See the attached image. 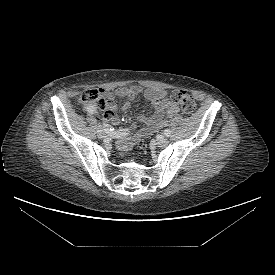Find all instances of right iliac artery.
<instances>
[{
    "label": "right iliac artery",
    "instance_id": "obj_1",
    "mask_svg": "<svg viewBox=\"0 0 275 275\" xmlns=\"http://www.w3.org/2000/svg\"><path fill=\"white\" fill-rule=\"evenodd\" d=\"M86 111L90 114H95L97 113L96 112V109L93 107V106H87L86 107ZM104 128H105V131L108 135L112 136V137H115V138H122V137H125L128 133H129V130L128 129H120V130H117L115 131L114 129H111L109 128L107 125L103 124Z\"/></svg>",
    "mask_w": 275,
    "mask_h": 275
}]
</instances>
